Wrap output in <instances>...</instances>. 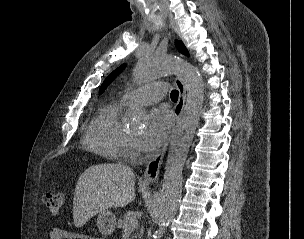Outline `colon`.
I'll list each match as a JSON object with an SVG mask.
<instances>
[{"label":"colon","instance_id":"colon-1","mask_svg":"<svg viewBox=\"0 0 304 239\" xmlns=\"http://www.w3.org/2000/svg\"><path fill=\"white\" fill-rule=\"evenodd\" d=\"M43 202L53 216L61 213L65 204V194L62 192H49L43 195Z\"/></svg>","mask_w":304,"mask_h":239}]
</instances>
